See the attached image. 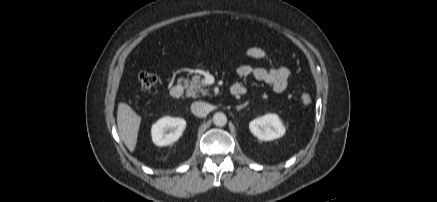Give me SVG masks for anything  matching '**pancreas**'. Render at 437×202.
Segmentation results:
<instances>
[{
  "instance_id": "obj_1",
  "label": "pancreas",
  "mask_w": 437,
  "mask_h": 202,
  "mask_svg": "<svg viewBox=\"0 0 437 202\" xmlns=\"http://www.w3.org/2000/svg\"><path fill=\"white\" fill-rule=\"evenodd\" d=\"M186 87V95L188 97L197 98L200 96L209 95L208 89L206 88V83L199 75H195L191 80L182 79L181 80Z\"/></svg>"
}]
</instances>
